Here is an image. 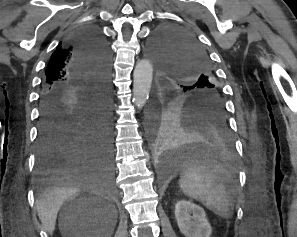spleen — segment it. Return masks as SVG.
Listing matches in <instances>:
<instances>
[{"mask_svg":"<svg viewBox=\"0 0 297 237\" xmlns=\"http://www.w3.org/2000/svg\"><path fill=\"white\" fill-rule=\"evenodd\" d=\"M179 186L186 196L200 201L216 215L230 216L229 194L218 168L194 165L180 177Z\"/></svg>","mask_w":297,"mask_h":237,"instance_id":"obj_1","label":"spleen"}]
</instances>
